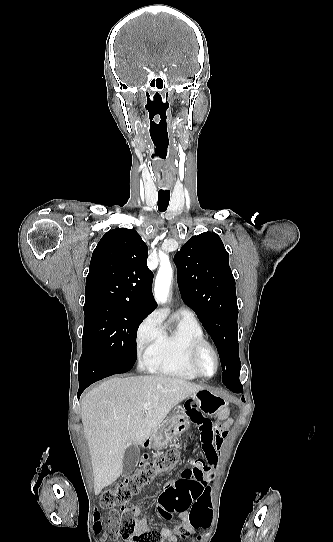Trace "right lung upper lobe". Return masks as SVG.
Wrapping results in <instances>:
<instances>
[{
  "instance_id": "1",
  "label": "right lung upper lobe",
  "mask_w": 333,
  "mask_h": 542,
  "mask_svg": "<svg viewBox=\"0 0 333 542\" xmlns=\"http://www.w3.org/2000/svg\"><path fill=\"white\" fill-rule=\"evenodd\" d=\"M147 253L148 247L135 230L108 231L92 254L84 307L113 305L150 314L157 304Z\"/></svg>"
}]
</instances>
